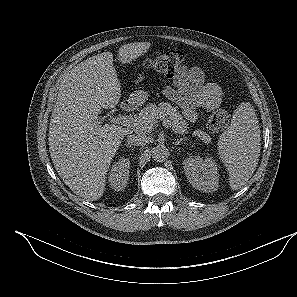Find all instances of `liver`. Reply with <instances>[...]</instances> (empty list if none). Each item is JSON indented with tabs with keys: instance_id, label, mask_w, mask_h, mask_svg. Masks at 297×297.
<instances>
[{
	"instance_id": "6515ba94",
	"label": "liver",
	"mask_w": 297,
	"mask_h": 297,
	"mask_svg": "<svg viewBox=\"0 0 297 297\" xmlns=\"http://www.w3.org/2000/svg\"><path fill=\"white\" fill-rule=\"evenodd\" d=\"M149 42L123 45L122 63L147 52ZM121 86L111 52L92 56L71 69L60 84L49 126V152L56 171L77 195L98 200L105 191L106 175L121 141L131 130L102 125L97 116L115 107Z\"/></svg>"
}]
</instances>
